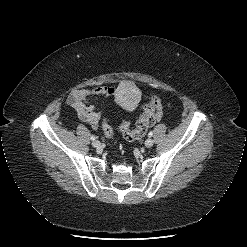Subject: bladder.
<instances>
[{
    "label": "bladder",
    "instance_id": "bladder-1",
    "mask_svg": "<svg viewBox=\"0 0 247 247\" xmlns=\"http://www.w3.org/2000/svg\"><path fill=\"white\" fill-rule=\"evenodd\" d=\"M128 87L135 91V96H136V88L133 85H128Z\"/></svg>",
    "mask_w": 247,
    "mask_h": 247
}]
</instances>
